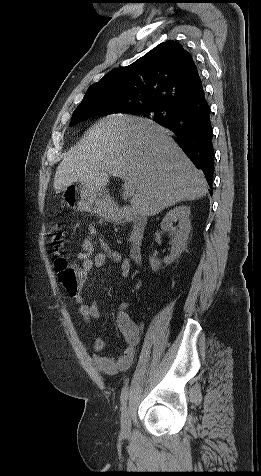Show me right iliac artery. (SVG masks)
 <instances>
[{"label": "right iliac artery", "instance_id": "82829eb1", "mask_svg": "<svg viewBox=\"0 0 261 476\" xmlns=\"http://www.w3.org/2000/svg\"><path fill=\"white\" fill-rule=\"evenodd\" d=\"M127 399H128V386L126 385V386L123 387L122 392H121L122 409H124V407L126 406Z\"/></svg>", "mask_w": 261, "mask_h": 476}]
</instances>
